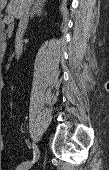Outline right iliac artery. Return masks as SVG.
Here are the masks:
<instances>
[{
    "label": "right iliac artery",
    "mask_w": 109,
    "mask_h": 170,
    "mask_svg": "<svg viewBox=\"0 0 109 170\" xmlns=\"http://www.w3.org/2000/svg\"><path fill=\"white\" fill-rule=\"evenodd\" d=\"M33 161L31 163H34L37 161L38 157H39V150L37 148V146L33 145Z\"/></svg>",
    "instance_id": "1"
}]
</instances>
